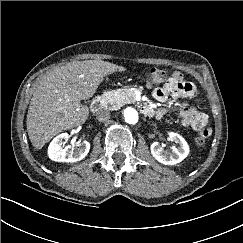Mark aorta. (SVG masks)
Returning <instances> with one entry per match:
<instances>
[{
    "label": "aorta",
    "mask_w": 243,
    "mask_h": 243,
    "mask_svg": "<svg viewBox=\"0 0 243 243\" xmlns=\"http://www.w3.org/2000/svg\"><path fill=\"white\" fill-rule=\"evenodd\" d=\"M123 115L125 121L129 124H136L138 122V112L132 107L126 108Z\"/></svg>",
    "instance_id": "762f6f07"
}]
</instances>
